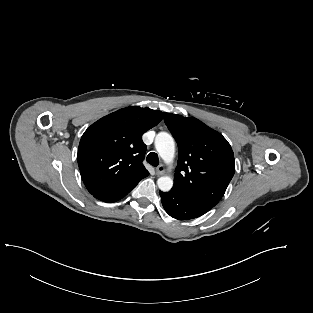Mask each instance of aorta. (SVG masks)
Instances as JSON below:
<instances>
[{
    "label": "aorta",
    "mask_w": 313,
    "mask_h": 313,
    "mask_svg": "<svg viewBox=\"0 0 313 313\" xmlns=\"http://www.w3.org/2000/svg\"><path fill=\"white\" fill-rule=\"evenodd\" d=\"M155 148L165 163L173 161L175 156V142L173 137L166 133L160 132L155 138ZM159 189L163 192L171 190L173 179L169 176H162L157 180Z\"/></svg>",
    "instance_id": "1"
}]
</instances>
